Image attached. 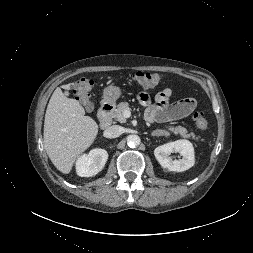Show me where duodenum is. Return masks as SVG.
I'll list each match as a JSON object with an SVG mask.
<instances>
[{
	"mask_svg": "<svg viewBox=\"0 0 253 253\" xmlns=\"http://www.w3.org/2000/svg\"><path fill=\"white\" fill-rule=\"evenodd\" d=\"M113 105L110 102H104L98 111L99 126L102 129L107 128L111 124V116L113 113Z\"/></svg>",
	"mask_w": 253,
	"mask_h": 253,
	"instance_id": "410a0bca",
	"label": "duodenum"
}]
</instances>
